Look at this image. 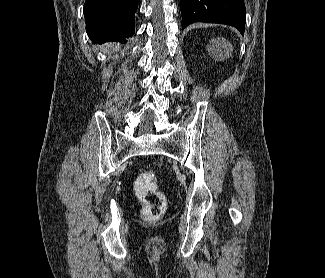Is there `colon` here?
I'll return each instance as SVG.
<instances>
[{"instance_id": "colon-1", "label": "colon", "mask_w": 325, "mask_h": 278, "mask_svg": "<svg viewBox=\"0 0 325 278\" xmlns=\"http://www.w3.org/2000/svg\"><path fill=\"white\" fill-rule=\"evenodd\" d=\"M134 189L144 207L142 216L148 222L158 221L166 208V199L159 190L156 176L152 172L140 174L134 182Z\"/></svg>"}]
</instances>
